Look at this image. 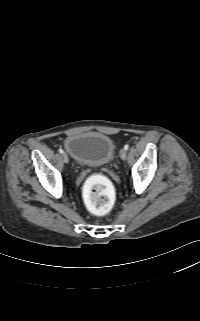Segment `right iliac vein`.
Masks as SVG:
<instances>
[{
  "label": "right iliac vein",
  "mask_w": 200,
  "mask_h": 321,
  "mask_svg": "<svg viewBox=\"0 0 200 321\" xmlns=\"http://www.w3.org/2000/svg\"><path fill=\"white\" fill-rule=\"evenodd\" d=\"M62 158H63V161H64L65 163H68L69 159H68V156H67L66 153H63V154H62Z\"/></svg>",
  "instance_id": "63e3f726"
}]
</instances>
